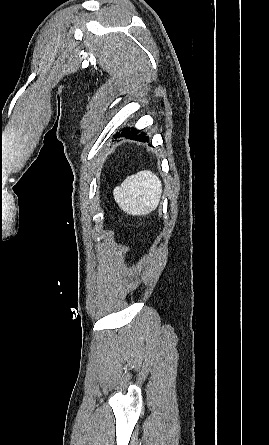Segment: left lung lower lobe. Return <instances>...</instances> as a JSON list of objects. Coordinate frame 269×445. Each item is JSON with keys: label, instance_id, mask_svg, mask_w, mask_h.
Masks as SVG:
<instances>
[{"label": "left lung lower lobe", "instance_id": "left-lung-lower-lobe-1", "mask_svg": "<svg viewBox=\"0 0 269 445\" xmlns=\"http://www.w3.org/2000/svg\"><path fill=\"white\" fill-rule=\"evenodd\" d=\"M118 136H125L132 140H137L141 142H144L148 139V137L145 135L144 132H141L136 128H131V129L127 128L126 130H123L121 134H117L114 137L117 138Z\"/></svg>", "mask_w": 269, "mask_h": 445}]
</instances>
